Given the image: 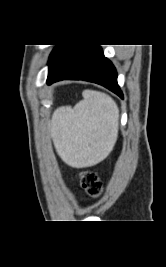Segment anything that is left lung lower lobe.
Returning <instances> with one entry per match:
<instances>
[{
	"mask_svg": "<svg viewBox=\"0 0 166 267\" xmlns=\"http://www.w3.org/2000/svg\"><path fill=\"white\" fill-rule=\"evenodd\" d=\"M47 84L85 80L100 84L121 98L117 72L99 45H57L49 57Z\"/></svg>",
	"mask_w": 166,
	"mask_h": 267,
	"instance_id": "1",
	"label": "left lung lower lobe"
}]
</instances>
